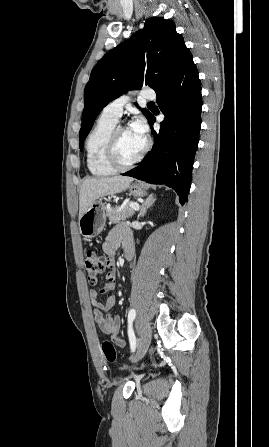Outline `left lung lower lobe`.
<instances>
[{
  "label": "left lung lower lobe",
  "instance_id": "0a47b994",
  "mask_svg": "<svg viewBox=\"0 0 269 447\" xmlns=\"http://www.w3.org/2000/svg\"><path fill=\"white\" fill-rule=\"evenodd\" d=\"M156 94L165 118L159 133L153 130V114L148 118L154 146L141 165L122 175L165 184L176 191L183 205L190 190L202 111L201 82L189 49L184 51L172 76Z\"/></svg>",
  "mask_w": 269,
  "mask_h": 447
}]
</instances>
